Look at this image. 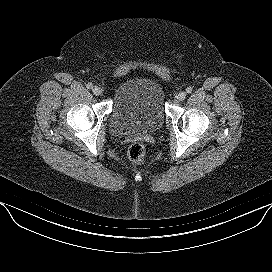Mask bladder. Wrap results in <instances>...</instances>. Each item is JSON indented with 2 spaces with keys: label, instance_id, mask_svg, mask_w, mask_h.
Returning <instances> with one entry per match:
<instances>
[{
  "label": "bladder",
  "instance_id": "31cf9c89",
  "mask_svg": "<svg viewBox=\"0 0 272 272\" xmlns=\"http://www.w3.org/2000/svg\"><path fill=\"white\" fill-rule=\"evenodd\" d=\"M164 103V88L156 79L129 77L115 91L109 127L117 135L153 132L164 123Z\"/></svg>",
  "mask_w": 272,
  "mask_h": 272
}]
</instances>
